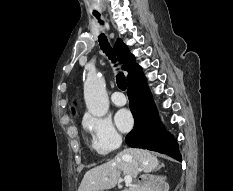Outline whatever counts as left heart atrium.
Wrapping results in <instances>:
<instances>
[{
    "mask_svg": "<svg viewBox=\"0 0 233 191\" xmlns=\"http://www.w3.org/2000/svg\"><path fill=\"white\" fill-rule=\"evenodd\" d=\"M115 121L118 128L123 132L129 131L134 123L131 113L126 109H122L117 112Z\"/></svg>",
    "mask_w": 233,
    "mask_h": 191,
    "instance_id": "39dd6f15",
    "label": "left heart atrium"
}]
</instances>
